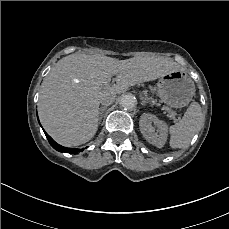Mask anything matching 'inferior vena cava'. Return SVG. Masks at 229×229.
Here are the masks:
<instances>
[{
  "mask_svg": "<svg viewBox=\"0 0 229 229\" xmlns=\"http://www.w3.org/2000/svg\"><path fill=\"white\" fill-rule=\"evenodd\" d=\"M101 104H102L103 106L111 105V104H109L107 101H102Z\"/></svg>",
  "mask_w": 229,
  "mask_h": 229,
  "instance_id": "602c4592",
  "label": "inferior vena cava"
}]
</instances>
